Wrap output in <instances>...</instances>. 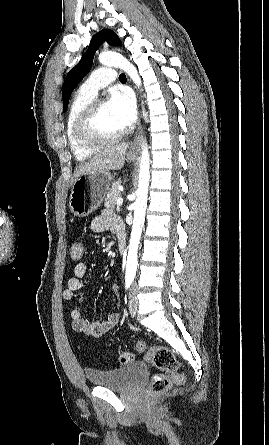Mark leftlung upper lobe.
Masks as SVG:
<instances>
[{
  "label": "left lung upper lobe",
  "mask_w": 269,
  "mask_h": 445,
  "mask_svg": "<svg viewBox=\"0 0 269 445\" xmlns=\"http://www.w3.org/2000/svg\"><path fill=\"white\" fill-rule=\"evenodd\" d=\"M104 41H107L109 44L115 46L122 45L119 37L110 29H103L92 37L89 48L82 56L79 63L69 71L64 80L62 87L63 112H65L68 107V102L72 91L89 72L92 66L95 51Z\"/></svg>",
  "instance_id": "obj_1"
}]
</instances>
